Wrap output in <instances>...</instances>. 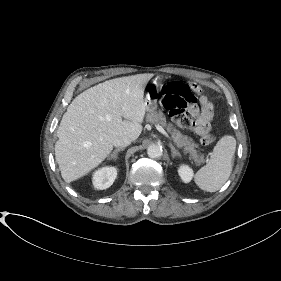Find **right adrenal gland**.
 <instances>
[{"instance_id":"2a0ac1e0","label":"right adrenal gland","mask_w":281,"mask_h":281,"mask_svg":"<svg viewBox=\"0 0 281 281\" xmlns=\"http://www.w3.org/2000/svg\"><path fill=\"white\" fill-rule=\"evenodd\" d=\"M124 149L123 148H117L115 149L111 154L110 156H108L107 160H117V155L120 151H123Z\"/></svg>"}]
</instances>
